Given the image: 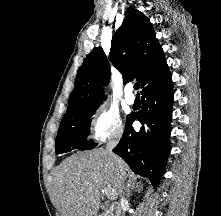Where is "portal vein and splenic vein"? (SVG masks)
<instances>
[{
    "mask_svg": "<svg viewBox=\"0 0 221 216\" xmlns=\"http://www.w3.org/2000/svg\"><path fill=\"white\" fill-rule=\"evenodd\" d=\"M102 192L106 194V196L108 197V199L113 200V196H112V194H111V191L102 190Z\"/></svg>",
    "mask_w": 221,
    "mask_h": 216,
    "instance_id": "portal-vein-and-splenic-vein-1",
    "label": "portal vein and splenic vein"
}]
</instances>
